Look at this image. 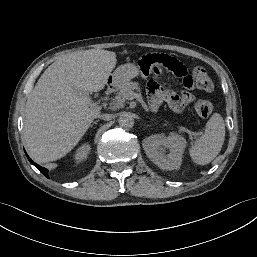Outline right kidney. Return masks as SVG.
<instances>
[{
  "mask_svg": "<svg viewBox=\"0 0 257 257\" xmlns=\"http://www.w3.org/2000/svg\"><path fill=\"white\" fill-rule=\"evenodd\" d=\"M90 145L89 144H83L81 147H79L75 154H74V159L77 161V162H81L83 161L84 159L87 158V155L89 154L90 152Z\"/></svg>",
  "mask_w": 257,
  "mask_h": 257,
  "instance_id": "obj_1",
  "label": "right kidney"
}]
</instances>
